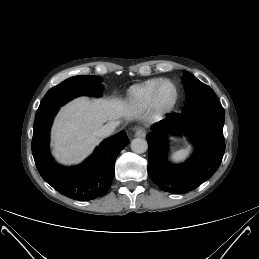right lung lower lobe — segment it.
<instances>
[{"mask_svg": "<svg viewBox=\"0 0 259 259\" xmlns=\"http://www.w3.org/2000/svg\"><path fill=\"white\" fill-rule=\"evenodd\" d=\"M59 108L36 117L32 153L43 179L59 193L81 201L103 196L114 178L115 161L129 143L125 131L106 139L82 165L66 168L55 163L49 152V133Z\"/></svg>", "mask_w": 259, "mask_h": 259, "instance_id": "obj_1", "label": "right lung lower lobe"}]
</instances>
